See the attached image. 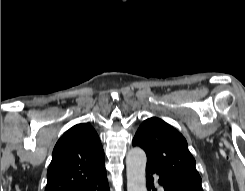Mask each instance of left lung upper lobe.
Returning a JSON list of instances; mask_svg holds the SVG:
<instances>
[{"label": "left lung upper lobe", "instance_id": "1", "mask_svg": "<svg viewBox=\"0 0 245 191\" xmlns=\"http://www.w3.org/2000/svg\"><path fill=\"white\" fill-rule=\"evenodd\" d=\"M133 146H140L146 152V169L190 191H203L186 139L162 119H146L134 136Z\"/></svg>", "mask_w": 245, "mask_h": 191}]
</instances>
